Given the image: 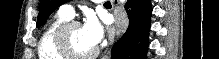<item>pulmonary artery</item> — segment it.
<instances>
[{"mask_svg": "<svg viewBox=\"0 0 219 59\" xmlns=\"http://www.w3.org/2000/svg\"><path fill=\"white\" fill-rule=\"evenodd\" d=\"M59 12L68 18H72L75 14L74 6L72 4L62 5L59 9Z\"/></svg>", "mask_w": 219, "mask_h": 59, "instance_id": "1", "label": "pulmonary artery"}]
</instances>
